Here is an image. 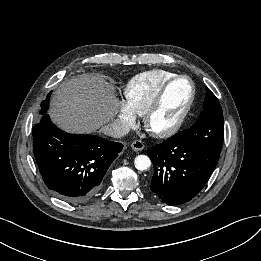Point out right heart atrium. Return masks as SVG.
Listing matches in <instances>:
<instances>
[{
    "instance_id": "right-heart-atrium-1",
    "label": "right heart atrium",
    "mask_w": 261,
    "mask_h": 261,
    "mask_svg": "<svg viewBox=\"0 0 261 261\" xmlns=\"http://www.w3.org/2000/svg\"><path fill=\"white\" fill-rule=\"evenodd\" d=\"M136 114L126 102H120L117 110L116 124L121 132L128 131L136 123Z\"/></svg>"
}]
</instances>
